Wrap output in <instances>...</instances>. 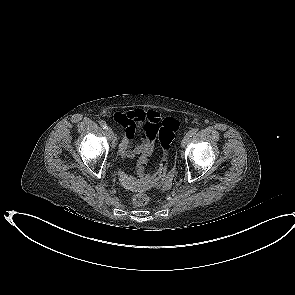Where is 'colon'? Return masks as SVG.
I'll use <instances>...</instances> for the list:
<instances>
[{"label":"colon","mask_w":295,"mask_h":295,"mask_svg":"<svg viewBox=\"0 0 295 295\" xmlns=\"http://www.w3.org/2000/svg\"><path fill=\"white\" fill-rule=\"evenodd\" d=\"M178 127V121L173 118H166L161 122L152 123L151 132L159 139L163 150V157L159 163L157 172L153 176H148L144 173V166L148 160V156L142 155L136 169L143 181H148L152 184L165 177L168 169V152ZM132 201L136 206H144L148 203L149 197L143 192H137L133 195Z\"/></svg>","instance_id":"colon-1"}]
</instances>
